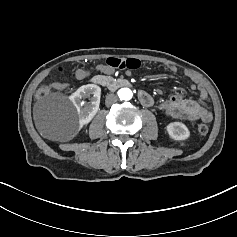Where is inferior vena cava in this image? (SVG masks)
I'll return each instance as SVG.
<instances>
[{
  "mask_svg": "<svg viewBox=\"0 0 237 237\" xmlns=\"http://www.w3.org/2000/svg\"><path fill=\"white\" fill-rule=\"evenodd\" d=\"M117 100H118V98H117L116 95H114V94H108V95L106 96L105 103H106L107 106H110V105L114 104L115 102H117Z\"/></svg>",
  "mask_w": 237,
  "mask_h": 237,
  "instance_id": "inferior-vena-cava-1",
  "label": "inferior vena cava"
}]
</instances>
